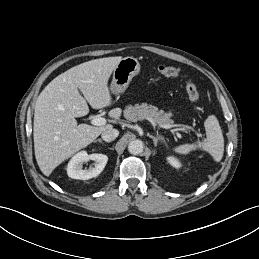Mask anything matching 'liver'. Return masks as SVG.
Wrapping results in <instances>:
<instances>
[{
  "instance_id": "obj_1",
  "label": "liver",
  "mask_w": 259,
  "mask_h": 259,
  "mask_svg": "<svg viewBox=\"0 0 259 259\" xmlns=\"http://www.w3.org/2000/svg\"><path fill=\"white\" fill-rule=\"evenodd\" d=\"M121 59L100 58L74 66L54 78L40 93L35 105L33 137L36 161L44 175L49 176L63 161L113 128L110 124L77 125L75 118L89 113L87 102L94 109L112 105L108 80ZM120 115V108L109 112L114 119Z\"/></svg>"
}]
</instances>
